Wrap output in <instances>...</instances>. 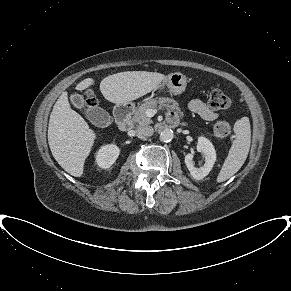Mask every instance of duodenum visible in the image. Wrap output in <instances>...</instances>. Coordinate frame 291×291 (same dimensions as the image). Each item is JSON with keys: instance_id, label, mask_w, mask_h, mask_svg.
I'll return each mask as SVG.
<instances>
[{"instance_id": "1", "label": "duodenum", "mask_w": 291, "mask_h": 291, "mask_svg": "<svg viewBox=\"0 0 291 291\" xmlns=\"http://www.w3.org/2000/svg\"><path fill=\"white\" fill-rule=\"evenodd\" d=\"M131 105H120L115 110V120L118 128L122 131H127L131 128ZM176 123L175 119L168 118L164 123L161 124V127L173 126Z\"/></svg>"}]
</instances>
